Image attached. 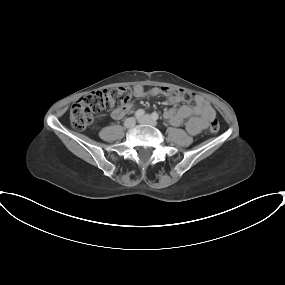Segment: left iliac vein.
<instances>
[{"label": "left iliac vein", "mask_w": 285, "mask_h": 285, "mask_svg": "<svg viewBox=\"0 0 285 285\" xmlns=\"http://www.w3.org/2000/svg\"><path fill=\"white\" fill-rule=\"evenodd\" d=\"M138 121L141 124H149V125H152V126H156L157 125V122L150 115H145V116L139 118Z\"/></svg>", "instance_id": "obj_1"}]
</instances>
